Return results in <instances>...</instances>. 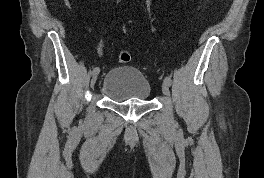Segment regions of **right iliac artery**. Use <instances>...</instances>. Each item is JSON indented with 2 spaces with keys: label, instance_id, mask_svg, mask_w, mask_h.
Returning <instances> with one entry per match:
<instances>
[{
  "label": "right iliac artery",
  "instance_id": "right-iliac-artery-1",
  "mask_svg": "<svg viewBox=\"0 0 264 178\" xmlns=\"http://www.w3.org/2000/svg\"><path fill=\"white\" fill-rule=\"evenodd\" d=\"M100 71V69L98 67L94 68L93 71H92V74H98Z\"/></svg>",
  "mask_w": 264,
  "mask_h": 178
}]
</instances>
